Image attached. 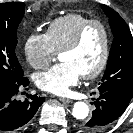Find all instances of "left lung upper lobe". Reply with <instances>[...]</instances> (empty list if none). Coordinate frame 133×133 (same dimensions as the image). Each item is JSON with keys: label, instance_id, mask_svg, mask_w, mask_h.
Segmentation results:
<instances>
[{"label": "left lung upper lobe", "instance_id": "obj_1", "mask_svg": "<svg viewBox=\"0 0 133 133\" xmlns=\"http://www.w3.org/2000/svg\"><path fill=\"white\" fill-rule=\"evenodd\" d=\"M109 18L114 40L99 91H112L133 97V37L123 18L113 9L101 5Z\"/></svg>", "mask_w": 133, "mask_h": 133}]
</instances>
